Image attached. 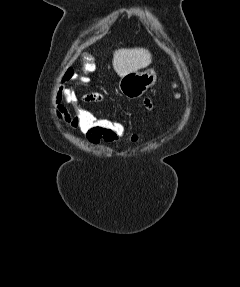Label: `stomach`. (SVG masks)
<instances>
[{
    "mask_svg": "<svg viewBox=\"0 0 240 287\" xmlns=\"http://www.w3.org/2000/svg\"><path fill=\"white\" fill-rule=\"evenodd\" d=\"M157 81V74L154 69L144 72H131L121 77L119 90L128 99L141 97Z\"/></svg>",
    "mask_w": 240,
    "mask_h": 287,
    "instance_id": "obj_1",
    "label": "stomach"
}]
</instances>
